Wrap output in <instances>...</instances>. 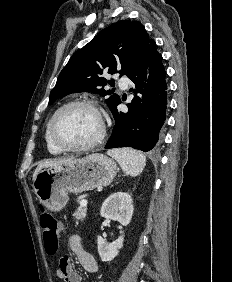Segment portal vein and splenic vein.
Wrapping results in <instances>:
<instances>
[{"label":"portal vein and splenic vein","mask_w":232,"mask_h":282,"mask_svg":"<svg viewBox=\"0 0 232 282\" xmlns=\"http://www.w3.org/2000/svg\"><path fill=\"white\" fill-rule=\"evenodd\" d=\"M87 204H88V202H87V200H81V202H80V206L81 207H87Z\"/></svg>","instance_id":"portal-vein-and-splenic-vein-1"}]
</instances>
